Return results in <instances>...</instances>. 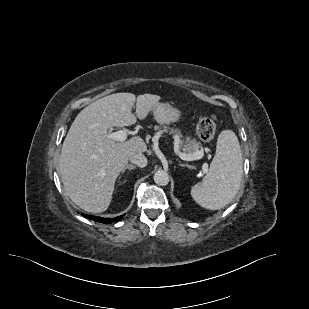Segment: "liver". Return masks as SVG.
<instances>
[{
	"label": "liver",
	"mask_w": 309,
	"mask_h": 309,
	"mask_svg": "<svg viewBox=\"0 0 309 309\" xmlns=\"http://www.w3.org/2000/svg\"><path fill=\"white\" fill-rule=\"evenodd\" d=\"M160 99L152 94L136 98L132 93H116L91 103L77 115L59 158L64 189L77 206L91 213L107 210L115 181L129 158L147 150L141 137L117 142L107 138L108 129L145 119ZM135 101L136 115L131 112Z\"/></svg>",
	"instance_id": "liver-1"
}]
</instances>
